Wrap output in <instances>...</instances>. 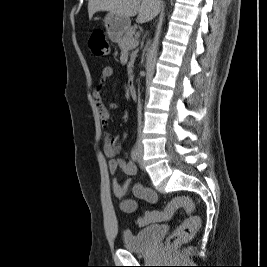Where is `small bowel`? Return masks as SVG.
<instances>
[{"label": "small bowel", "instance_id": "1", "mask_svg": "<svg viewBox=\"0 0 267 267\" xmlns=\"http://www.w3.org/2000/svg\"><path fill=\"white\" fill-rule=\"evenodd\" d=\"M114 70L112 67H105L100 74V84L95 88L93 92V98L97 111L101 120V124L104 128L107 127L110 114V109H117L119 104L116 102H110L106 106L102 99L103 83L112 77ZM121 150V145L117 137L112 136L109 133L104 134V146L103 151L105 156L108 158V168L110 173L114 174L120 168L122 171L129 176L137 173V166L131 160H125L118 157ZM130 188V181L124 180L119 181L114 179L112 182V190L114 195L121 200L120 208L125 213H134L138 209V202L134 198H126V194ZM132 193L135 198L144 200L148 203H156L158 196L155 191L150 188L144 187L140 183H136L131 187Z\"/></svg>", "mask_w": 267, "mask_h": 267}]
</instances>
